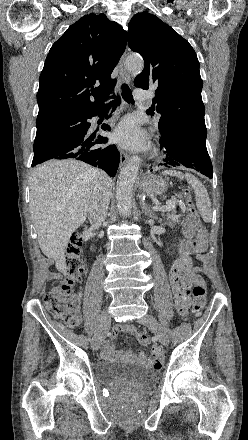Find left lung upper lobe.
Returning <instances> with one entry per match:
<instances>
[{
	"instance_id": "left-lung-upper-lobe-1",
	"label": "left lung upper lobe",
	"mask_w": 248,
	"mask_h": 440,
	"mask_svg": "<svg viewBox=\"0 0 248 440\" xmlns=\"http://www.w3.org/2000/svg\"><path fill=\"white\" fill-rule=\"evenodd\" d=\"M128 27V45L145 61L134 85L146 90L156 88L153 105L162 115L158 124L160 139L178 135L205 142L203 82L192 46L147 11L134 15Z\"/></svg>"
}]
</instances>
